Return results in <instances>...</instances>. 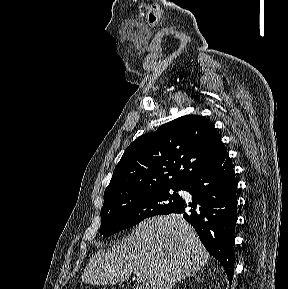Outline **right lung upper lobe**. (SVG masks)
Here are the masks:
<instances>
[{"label":"right lung upper lobe","mask_w":288,"mask_h":289,"mask_svg":"<svg viewBox=\"0 0 288 289\" xmlns=\"http://www.w3.org/2000/svg\"><path fill=\"white\" fill-rule=\"evenodd\" d=\"M225 152L218 132L205 117L182 116L127 147L104 198L151 188H181Z\"/></svg>","instance_id":"right-lung-upper-lobe-1"}]
</instances>
